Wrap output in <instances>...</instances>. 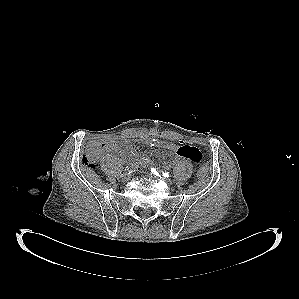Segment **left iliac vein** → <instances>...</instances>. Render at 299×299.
<instances>
[{"mask_svg":"<svg viewBox=\"0 0 299 299\" xmlns=\"http://www.w3.org/2000/svg\"><path fill=\"white\" fill-rule=\"evenodd\" d=\"M164 179V181L166 182V183H168V184H171V179H169V178H163Z\"/></svg>","mask_w":299,"mask_h":299,"instance_id":"4c4485c4","label":"left iliac vein"}]
</instances>
